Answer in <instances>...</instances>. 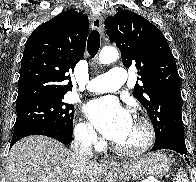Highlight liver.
Segmentation results:
<instances>
[{
  "label": "liver",
  "mask_w": 196,
  "mask_h": 182,
  "mask_svg": "<svg viewBox=\"0 0 196 182\" xmlns=\"http://www.w3.org/2000/svg\"><path fill=\"white\" fill-rule=\"evenodd\" d=\"M73 158L59 141L35 135L23 138L11 148L6 166V182H75ZM104 168L88 161L79 182H101Z\"/></svg>",
  "instance_id": "1"
}]
</instances>
